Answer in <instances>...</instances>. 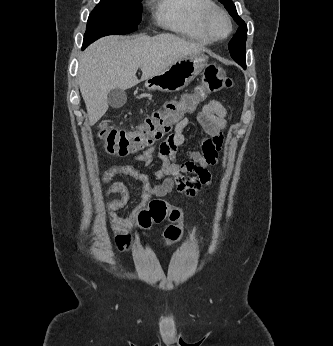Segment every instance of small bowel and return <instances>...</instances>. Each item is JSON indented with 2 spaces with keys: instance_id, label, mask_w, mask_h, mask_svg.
I'll use <instances>...</instances> for the list:
<instances>
[{
  "instance_id": "small-bowel-1",
  "label": "small bowel",
  "mask_w": 333,
  "mask_h": 346,
  "mask_svg": "<svg viewBox=\"0 0 333 346\" xmlns=\"http://www.w3.org/2000/svg\"><path fill=\"white\" fill-rule=\"evenodd\" d=\"M226 115V108L216 99L208 100L203 108L196 113V120L202 128L204 137L200 149L186 153L187 161L184 163H178L174 158L176 151L185 143L183 132L189 124L188 117L177 122L174 133L164 142L136 155L137 161L144 166H149L152 163L154 153L157 152L162 162L159 170L148 173L131 165L116 164L105 172L102 179L103 184H108L115 175L123 174L134 179L142 190L140 205L129 217L122 219L115 214V211L128 203L129 191L121 182H114L107 188L106 196L120 195L118 199L106 206L111 228L116 234V239H113L112 242L113 246L126 249L134 245V242L130 240L132 233L129 229L133 226L136 214L145 206L151 196L163 197L173 190H177L187 197H195L202 187L209 185L211 180L209 169L216 163L222 147ZM184 173H189L191 176L185 178ZM162 178H164L162 183L153 184V181Z\"/></svg>"
}]
</instances>
